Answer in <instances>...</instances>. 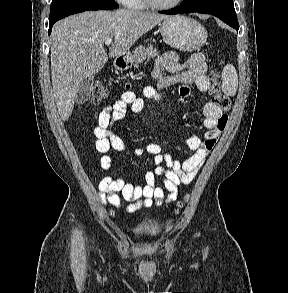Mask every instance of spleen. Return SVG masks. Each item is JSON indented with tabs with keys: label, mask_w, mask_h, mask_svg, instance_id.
Instances as JSON below:
<instances>
[{
	"label": "spleen",
	"mask_w": 288,
	"mask_h": 293,
	"mask_svg": "<svg viewBox=\"0 0 288 293\" xmlns=\"http://www.w3.org/2000/svg\"><path fill=\"white\" fill-rule=\"evenodd\" d=\"M238 87V75L231 64H227L222 72V91L227 96H234Z\"/></svg>",
	"instance_id": "obj_1"
}]
</instances>
